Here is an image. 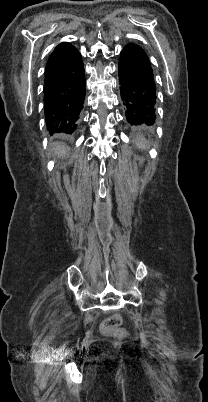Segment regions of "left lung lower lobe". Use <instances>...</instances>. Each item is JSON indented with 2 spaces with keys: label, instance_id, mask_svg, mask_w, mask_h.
<instances>
[{
  "label": "left lung lower lobe",
  "instance_id": "obj_1",
  "mask_svg": "<svg viewBox=\"0 0 208 402\" xmlns=\"http://www.w3.org/2000/svg\"><path fill=\"white\" fill-rule=\"evenodd\" d=\"M119 84L126 119L130 125H152L156 120V84L149 58L134 43L120 53Z\"/></svg>",
  "mask_w": 208,
  "mask_h": 402
}]
</instances>
